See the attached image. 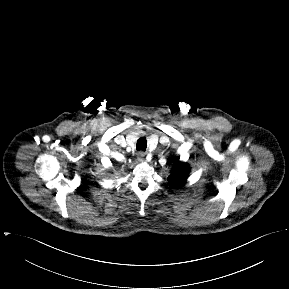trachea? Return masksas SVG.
<instances>
[{
	"instance_id": "3493384b",
	"label": "trachea",
	"mask_w": 289,
	"mask_h": 289,
	"mask_svg": "<svg viewBox=\"0 0 289 289\" xmlns=\"http://www.w3.org/2000/svg\"><path fill=\"white\" fill-rule=\"evenodd\" d=\"M147 148V141L144 137H141L140 139H138L137 141V145H136V150L138 151H145Z\"/></svg>"
}]
</instances>
